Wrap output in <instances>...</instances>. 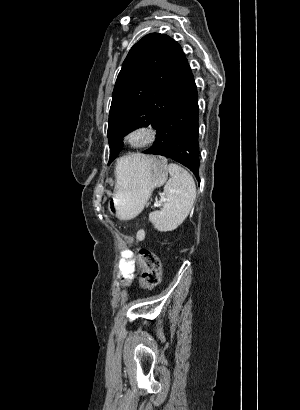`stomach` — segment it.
I'll return each mask as SVG.
<instances>
[{"mask_svg":"<svg viewBox=\"0 0 300 410\" xmlns=\"http://www.w3.org/2000/svg\"><path fill=\"white\" fill-rule=\"evenodd\" d=\"M128 157H125L127 161ZM128 164L108 201L110 214L121 220H130L140 214L153 190L162 186L168 177L167 160L160 156H147L139 163L128 161Z\"/></svg>","mask_w":300,"mask_h":410,"instance_id":"stomach-1","label":"stomach"}]
</instances>
